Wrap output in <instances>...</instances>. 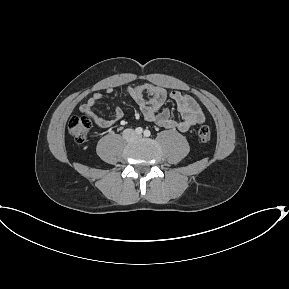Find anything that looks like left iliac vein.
Masks as SVG:
<instances>
[{
    "label": "left iliac vein",
    "mask_w": 289,
    "mask_h": 289,
    "mask_svg": "<svg viewBox=\"0 0 289 289\" xmlns=\"http://www.w3.org/2000/svg\"><path fill=\"white\" fill-rule=\"evenodd\" d=\"M137 137H138V138H140V137H141V135H138Z\"/></svg>",
    "instance_id": "1"
}]
</instances>
